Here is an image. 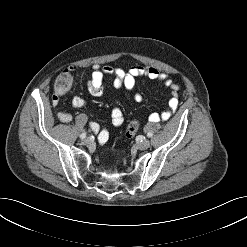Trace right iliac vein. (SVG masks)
Instances as JSON below:
<instances>
[{"mask_svg":"<svg viewBox=\"0 0 247 247\" xmlns=\"http://www.w3.org/2000/svg\"><path fill=\"white\" fill-rule=\"evenodd\" d=\"M91 143H92V139L89 138V137H87V138H85V139L83 140V144H84V145H90Z\"/></svg>","mask_w":247,"mask_h":247,"instance_id":"right-iliac-vein-1","label":"right iliac vein"}]
</instances>
